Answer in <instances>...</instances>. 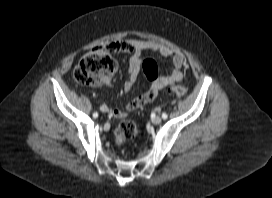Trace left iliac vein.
<instances>
[{
    "mask_svg": "<svg viewBox=\"0 0 272 198\" xmlns=\"http://www.w3.org/2000/svg\"><path fill=\"white\" fill-rule=\"evenodd\" d=\"M162 121V118L160 116H155L152 118V123L154 124H160Z\"/></svg>",
    "mask_w": 272,
    "mask_h": 198,
    "instance_id": "1",
    "label": "left iliac vein"
}]
</instances>
